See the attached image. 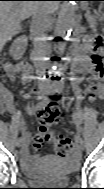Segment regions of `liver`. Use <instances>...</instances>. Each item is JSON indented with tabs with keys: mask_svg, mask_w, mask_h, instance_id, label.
<instances>
[{
	"mask_svg": "<svg viewBox=\"0 0 104 189\" xmlns=\"http://www.w3.org/2000/svg\"><path fill=\"white\" fill-rule=\"evenodd\" d=\"M41 8L57 9V4L41 1H1L0 3V42L4 45L20 31L21 21Z\"/></svg>",
	"mask_w": 104,
	"mask_h": 189,
	"instance_id": "1",
	"label": "liver"
}]
</instances>
